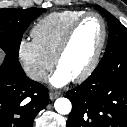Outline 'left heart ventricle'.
<instances>
[{"mask_svg": "<svg viewBox=\"0 0 127 127\" xmlns=\"http://www.w3.org/2000/svg\"><path fill=\"white\" fill-rule=\"evenodd\" d=\"M102 37L101 22L87 18L76 30L70 46L62 57L59 68L72 78L82 72L95 54Z\"/></svg>", "mask_w": 127, "mask_h": 127, "instance_id": "1", "label": "left heart ventricle"}]
</instances>
